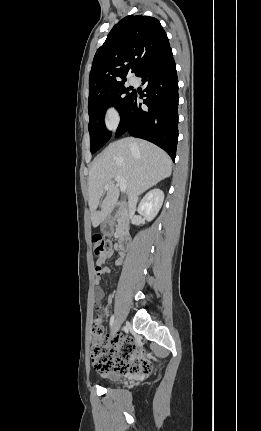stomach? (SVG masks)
<instances>
[{
  "instance_id": "0dacf381",
  "label": "stomach",
  "mask_w": 261,
  "mask_h": 431,
  "mask_svg": "<svg viewBox=\"0 0 261 431\" xmlns=\"http://www.w3.org/2000/svg\"><path fill=\"white\" fill-rule=\"evenodd\" d=\"M101 232L106 236H112L114 233V222L111 219L104 221L101 224Z\"/></svg>"
}]
</instances>
